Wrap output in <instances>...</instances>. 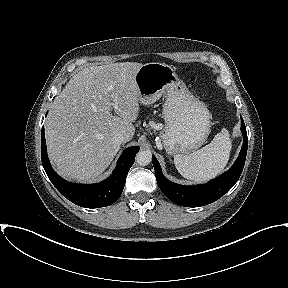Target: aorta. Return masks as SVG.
Masks as SVG:
<instances>
[{
  "label": "aorta",
  "instance_id": "762f6f07",
  "mask_svg": "<svg viewBox=\"0 0 288 288\" xmlns=\"http://www.w3.org/2000/svg\"><path fill=\"white\" fill-rule=\"evenodd\" d=\"M136 161L140 166H146L151 163L152 155L149 151H140L136 155Z\"/></svg>",
  "mask_w": 288,
  "mask_h": 288
}]
</instances>
